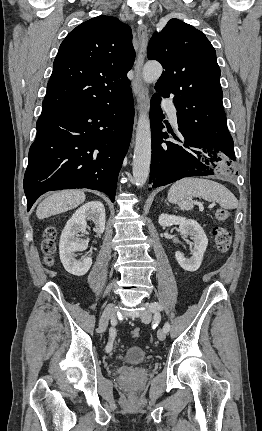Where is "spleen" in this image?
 Wrapping results in <instances>:
<instances>
[{"instance_id": "obj_1", "label": "spleen", "mask_w": 262, "mask_h": 431, "mask_svg": "<svg viewBox=\"0 0 262 431\" xmlns=\"http://www.w3.org/2000/svg\"><path fill=\"white\" fill-rule=\"evenodd\" d=\"M192 197H201L209 202H217L222 208L235 209L238 201L224 185L209 179L187 177L175 182L168 191V201L182 210H192Z\"/></svg>"}]
</instances>
